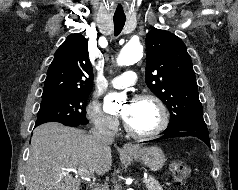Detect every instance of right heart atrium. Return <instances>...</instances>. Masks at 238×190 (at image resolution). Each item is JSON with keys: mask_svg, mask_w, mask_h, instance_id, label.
<instances>
[{"mask_svg": "<svg viewBox=\"0 0 238 190\" xmlns=\"http://www.w3.org/2000/svg\"><path fill=\"white\" fill-rule=\"evenodd\" d=\"M86 117L96 128L104 131H116L118 119L103 111L100 104L92 101L86 107Z\"/></svg>", "mask_w": 238, "mask_h": 190, "instance_id": "d8ad5b80", "label": "right heart atrium"}]
</instances>
